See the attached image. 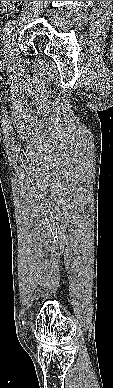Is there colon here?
Segmentation results:
<instances>
[{"mask_svg": "<svg viewBox=\"0 0 113 388\" xmlns=\"http://www.w3.org/2000/svg\"><path fill=\"white\" fill-rule=\"evenodd\" d=\"M16 1H0V12L8 13L14 7Z\"/></svg>", "mask_w": 113, "mask_h": 388, "instance_id": "5ec220e1", "label": "colon"}]
</instances>
